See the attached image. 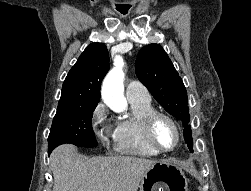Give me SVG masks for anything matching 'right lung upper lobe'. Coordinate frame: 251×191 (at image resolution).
<instances>
[{"instance_id": "1", "label": "right lung upper lobe", "mask_w": 251, "mask_h": 191, "mask_svg": "<svg viewBox=\"0 0 251 191\" xmlns=\"http://www.w3.org/2000/svg\"><path fill=\"white\" fill-rule=\"evenodd\" d=\"M109 55L103 43H92L69 71L58 108L98 104L100 87L109 70Z\"/></svg>"}]
</instances>
